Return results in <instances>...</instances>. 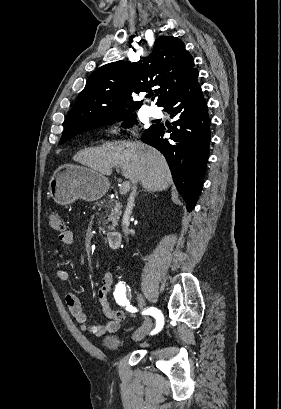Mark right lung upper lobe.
<instances>
[{
	"label": "right lung upper lobe",
	"mask_w": 281,
	"mask_h": 409,
	"mask_svg": "<svg viewBox=\"0 0 281 409\" xmlns=\"http://www.w3.org/2000/svg\"><path fill=\"white\" fill-rule=\"evenodd\" d=\"M194 60L184 43L173 36L155 40L153 52L138 62L117 61L101 66L88 78L78 95L65 128L83 127L125 112L126 94L149 91L157 96V105L175 95L190 79ZM142 101L135 102L139 108Z\"/></svg>",
	"instance_id": "cb5924a9"
}]
</instances>
